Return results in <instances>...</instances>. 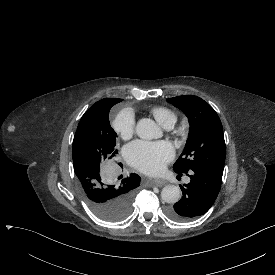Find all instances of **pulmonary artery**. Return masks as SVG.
<instances>
[{"mask_svg":"<svg viewBox=\"0 0 275 275\" xmlns=\"http://www.w3.org/2000/svg\"><path fill=\"white\" fill-rule=\"evenodd\" d=\"M164 128H165L166 130H170V129L173 128V124H167V125L164 126ZM189 181H190V178H189V177H185V178H184V182H185V183H188Z\"/></svg>","mask_w":275,"mask_h":275,"instance_id":"obj_1","label":"pulmonary artery"}]
</instances>
